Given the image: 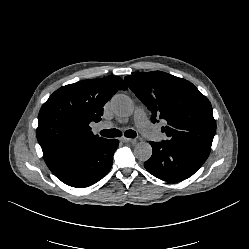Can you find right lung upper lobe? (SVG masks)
I'll return each mask as SVG.
<instances>
[{
    "mask_svg": "<svg viewBox=\"0 0 249 249\" xmlns=\"http://www.w3.org/2000/svg\"><path fill=\"white\" fill-rule=\"evenodd\" d=\"M127 86L118 76L83 80L56 90L42 105L36 135L47 166L53 167L74 153L99 144L89 124L99 122L103 106Z\"/></svg>",
    "mask_w": 249,
    "mask_h": 249,
    "instance_id": "1",
    "label": "right lung upper lobe"
}]
</instances>
